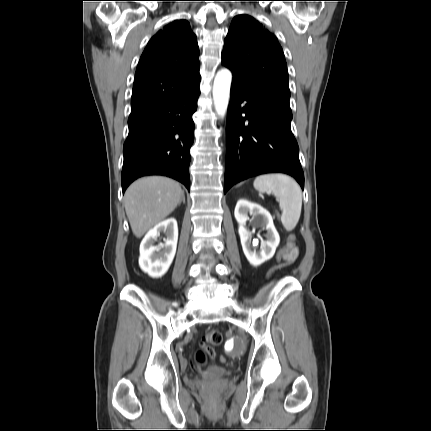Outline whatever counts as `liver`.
I'll return each instance as SVG.
<instances>
[{"label":"liver","instance_id":"1","mask_svg":"<svg viewBox=\"0 0 431 431\" xmlns=\"http://www.w3.org/2000/svg\"><path fill=\"white\" fill-rule=\"evenodd\" d=\"M183 191L176 181L162 176L143 177L125 192V211L133 234L140 238L171 214Z\"/></svg>","mask_w":431,"mask_h":431}]
</instances>
